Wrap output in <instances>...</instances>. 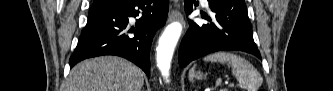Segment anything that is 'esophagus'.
<instances>
[{"label":"esophagus","instance_id":"esophagus-1","mask_svg":"<svg viewBox=\"0 0 333 91\" xmlns=\"http://www.w3.org/2000/svg\"><path fill=\"white\" fill-rule=\"evenodd\" d=\"M177 3H178V0H173V6L171 8L168 21L169 22L180 21L181 23L184 24V20H183V16H182L181 12L177 8H175Z\"/></svg>","mask_w":333,"mask_h":91}]
</instances>
